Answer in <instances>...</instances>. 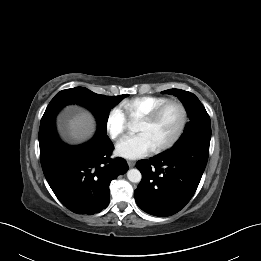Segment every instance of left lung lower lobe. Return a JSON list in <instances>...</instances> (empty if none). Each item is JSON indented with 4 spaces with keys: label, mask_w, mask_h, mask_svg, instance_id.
Listing matches in <instances>:
<instances>
[{
    "label": "left lung lower lobe",
    "mask_w": 261,
    "mask_h": 261,
    "mask_svg": "<svg viewBox=\"0 0 261 261\" xmlns=\"http://www.w3.org/2000/svg\"><path fill=\"white\" fill-rule=\"evenodd\" d=\"M209 141L190 140L136 163L142 180L134 192L137 205L151 215L180 211L194 195L207 164Z\"/></svg>",
    "instance_id": "0a47b994"
}]
</instances>
